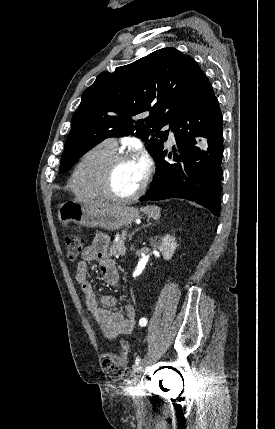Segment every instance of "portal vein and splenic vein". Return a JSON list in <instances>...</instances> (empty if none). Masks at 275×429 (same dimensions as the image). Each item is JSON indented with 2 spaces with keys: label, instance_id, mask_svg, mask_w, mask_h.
I'll return each instance as SVG.
<instances>
[{
  "label": "portal vein and splenic vein",
  "instance_id": "1",
  "mask_svg": "<svg viewBox=\"0 0 275 429\" xmlns=\"http://www.w3.org/2000/svg\"><path fill=\"white\" fill-rule=\"evenodd\" d=\"M124 238H125V236H126V233H123V235H122Z\"/></svg>",
  "mask_w": 275,
  "mask_h": 429
}]
</instances>
